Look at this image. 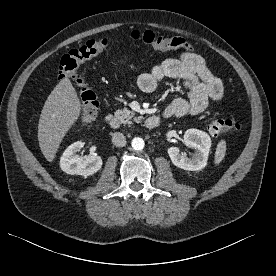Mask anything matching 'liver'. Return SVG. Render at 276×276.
<instances>
[{"mask_svg": "<svg viewBox=\"0 0 276 276\" xmlns=\"http://www.w3.org/2000/svg\"><path fill=\"white\" fill-rule=\"evenodd\" d=\"M81 102L68 78L62 79L48 96L38 124V141L47 161L53 162L57 150L81 114Z\"/></svg>", "mask_w": 276, "mask_h": 276, "instance_id": "obj_1", "label": "liver"}]
</instances>
